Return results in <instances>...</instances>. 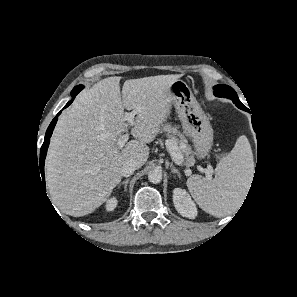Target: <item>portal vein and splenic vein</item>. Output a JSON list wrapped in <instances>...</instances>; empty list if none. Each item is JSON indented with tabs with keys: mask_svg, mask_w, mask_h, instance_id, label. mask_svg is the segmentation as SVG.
I'll list each match as a JSON object with an SVG mask.
<instances>
[{
	"mask_svg": "<svg viewBox=\"0 0 297 297\" xmlns=\"http://www.w3.org/2000/svg\"><path fill=\"white\" fill-rule=\"evenodd\" d=\"M138 113L137 110H133L132 112H129V113H126L125 116H124V120H126L127 122L129 123H132L134 118H135V115ZM129 139V134L126 133L124 135H122L118 140V146L120 148H122L125 143L128 141ZM166 148L168 150V152L170 153L171 157L173 158V160L175 161V163L177 164H180L183 162V157L181 155H179L176 150H177V147L174 145V143L170 140H167L166 143ZM212 168L209 166L208 169H202V171L208 176L210 177V172H211ZM187 175H190L191 171L190 170H187L186 171Z\"/></svg>",
	"mask_w": 297,
	"mask_h": 297,
	"instance_id": "18ae733b",
	"label": "portal vein and splenic vein"
}]
</instances>
